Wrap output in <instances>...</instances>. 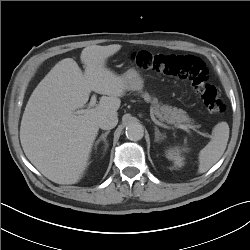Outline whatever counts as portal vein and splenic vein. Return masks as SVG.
Returning a JSON list of instances; mask_svg holds the SVG:
<instances>
[{"mask_svg":"<svg viewBox=\"0 0 250 250\" xmlns=\"http://www.w3.org/2000/svg\"><path fill=\"white\" fill-rule=\"evenodd\" d=\"M95 105H96V96L93 95V96L91 97L90 102H89V108L94 107ZM85 112H86V109H81V110H77V111L75 112V114H76V115H82V114H84ZM173 124H174V123H173ZM174 125H175V127L180 128V129H183V130H186V131H188V128H189L187 125H182V124H174ZM203 136L208 137V138H212V136H211L210 134H203Z\"/></svg>","mask_w":250,"mask_h":250,"instance_id":"obj_1","label":"portal vein and splenic vein"}]
</instances>
